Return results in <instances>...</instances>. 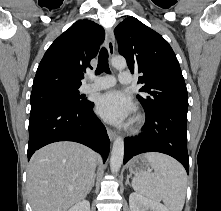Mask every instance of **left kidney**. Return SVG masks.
<instances>
[{"mask_svg": "<svg viewBox=\"0 0 221 211\" xmlns=\"http://www.w3.org/2000/svg\"><path fill=\"white\" fill-rule=\"evenodd\" d=\"M130 211H169L158 201L148 199L136 192L129 196Z\"/></svg>", "mask_w": 221, "mask_h": 211, "instance_id": "1", "label": "left kidney"}]
</instances>
